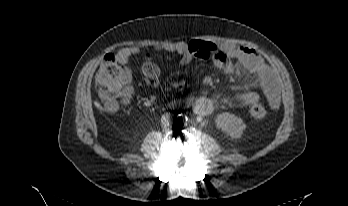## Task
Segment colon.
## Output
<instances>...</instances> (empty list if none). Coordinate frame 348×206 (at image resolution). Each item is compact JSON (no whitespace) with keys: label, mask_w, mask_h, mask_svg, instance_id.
I'll return each instance as SVG.
<instances>
[{"label":"colon","mask_w":348,"mask_h":206,"mask_svg":"<svg viewBox=\"0 0 348 206\" xmlns=\"http://www.w3.org/2000/svg\"><path fill=\"white\" fill-rule=\"evenodd\" d=\"M143 71L148 76H155L158 73L157 67L148 59L143 64ZM131 80V71L116 55L109 54L104 57L97 73L96 83L108 113L115 112L121 103L128 100L132 91ZM250 115L255 120H261L266 116V110L262 105L254 104L250 108Z\"/></svg>","instance_id":"5ec220e1"}]
</instances>
